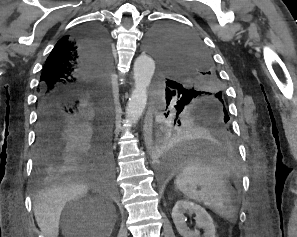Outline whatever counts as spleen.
<instances>
[{
    "mask_svg": "<svg viewBox=\"0 0 297 237\" xmlns=\"http://www.w3.org/2000/svg\"><path fill=\"white\" fill-rule=\"evenodd\" d=\"M175 186L187 197L202 202L222 218L233 221L235 210L226 172L219 164L196 160L184 167ZM200 187V190H197Z\"/></svg>",
    "mask_w": 297,
    "mask_h": 237,
    "instance_id": "spleen-1",
    "label": "spleen"
}]
</instances>
